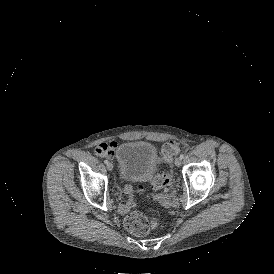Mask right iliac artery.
I'll use <instances>...</instances> for the list:
<instances>
[{
	"label": "right iliac artery",
	"mask_w": 274,
	"mask_h": 274,
	"mask_svg": "<svg viewBox=\"0 0 274 274\" xmlns=\"http://www.w3.org/2000/svg\"><path fill=\"white\" fill-rule=\"evenodd\" d=\"M104 163L107 165L109 162H108V160H105Z\"/></svg>",
	"instance_id": "1"
}]
</instances>
